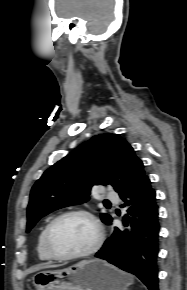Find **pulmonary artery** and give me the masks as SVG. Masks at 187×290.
Segmentation results:
<instances>
[{
    "mask_svg": "<svg viewBox=\"0 0 187 290\" xmlns=\"http://www.w3.org/2000/svg\"><path fill=\"white\" fill-rule=\"evenodd\" d=\"M104 195L108 200H111V201H117L118 199L117 193L111 189H106L104 192Z\"/></svg>",
    "mask_w": 187,
    "mask_h": 290,
    "instance_id": "obj_1",
    "label": "pulmonary artery"
}]
</instances>
